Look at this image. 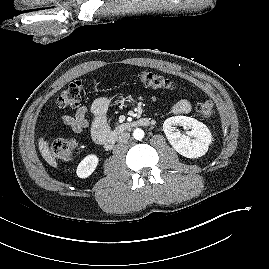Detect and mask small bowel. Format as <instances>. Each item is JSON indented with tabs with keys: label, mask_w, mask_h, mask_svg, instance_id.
I'll return each mask as SVG.
<instances>
[{
	"label": "small bowel",
	"mask_w": 269,
	"mask_h": 269,
	"mask_svg": "<svg viewBox=\"0 0 269 269\" xmlns=\"http://www.w3.org/2000/svg\"><path fill=\"white\" fill-rule=\"evenodd\" d=\"M110 100L107 97L96 99L91 105L92 122L87 118L88 109L84 105H80L74 115H63L62 122L76 133H81L90 128L91 135L95 142L103 143L109 133L107 123V111ZM191 110V105L186 99H180L172 107V111L176 115H185Z\"/></svg>",
	"instance_id": "small-bowel-1"
}]
</instances>
